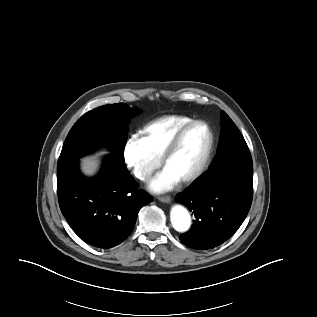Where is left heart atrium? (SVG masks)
Segmentation results:
<instances>
[{"instance_id": "39dd6f15", "label": "left heart atrium", "mask_w": 317, "mask_h": 317, "mask_svg": "<svg viewBox=\"0 0 317 317\" xmlns=\"http://www.w3.org/2000/svg\"><path fill=\"white\" fill-rule=\"evenodd\" d=\"M179 181V177L166 167L152 180L150 189L156 193L165 192L172 189Z\"/></svg>"}]
</instances>
